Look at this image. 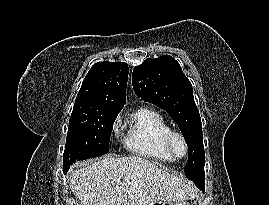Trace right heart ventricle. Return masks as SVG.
Returning <instances> with one entry per match:
<instances>
[{
  "mask_svg": "<svg viewBox=\"0 0 269 205\" xmlns=\"http://www.w3.org/2000/svg\"><path fill=\"white\" fill-rule=\"evenodd\" d=\"M171 130L169 123L157 111L138 109L125 136V147L133 155L157 163H171V157L163 147V137Z\"/></svg>",
  "mask_w": 269,
  "mask_h": 205,
  "instance_id": "right-heart-ventricle-1",
  "label": "right heart ventricle"
}]
</instances>
